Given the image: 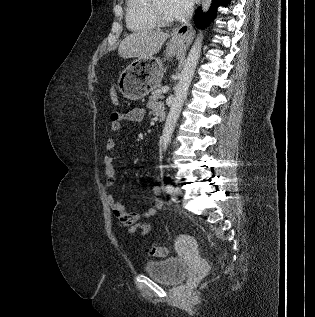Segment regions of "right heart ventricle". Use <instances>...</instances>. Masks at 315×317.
<instances>
[{"label": "right heart ventricle", "instance_id": "1", "mask_svg": "<svg viewBox=\"0 0 315 317\" xmlns=\"http://www.w3.org/2000/svg\"><path fill=\"white\" fill-rule=\"evenodd\" d=\"M149 3L150 0H126L125 20L129 30L143 32L156 27L150 15Z\"/></svg>", "mask_w": 315, "mask_h": 317}]
</instances>
